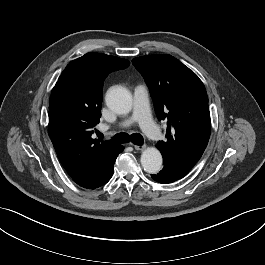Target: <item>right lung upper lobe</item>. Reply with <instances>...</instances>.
I'll list each match as a JSON object with an SVG mask.
<instances>
[{
    "mask_svg": "<svg viewBox=\"0 0 265 265\" xmlns=\"http://www.w3.org/2000/svg\"><path fill=\"white\" fill-rule=\"evenodd\" d=\"M128 60L101 53H87L62 72L49 100L48 132L56 154L71 176L81 172L98 155L118 144L92 139L99 123L103 82Z\"/></svg>",
    "mask_w": 265,
    "mask_h": 265,
    "instance_id": "obj_1",
    "label": "right lung upper lobe"
}]
</instances>
